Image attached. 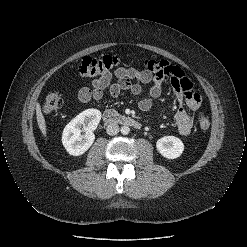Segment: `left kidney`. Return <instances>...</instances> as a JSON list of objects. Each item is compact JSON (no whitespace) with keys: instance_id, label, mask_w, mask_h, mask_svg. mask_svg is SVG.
I'll list each match as a JSON object with an SVG mask.
<instances>
[{"instance_id":"1","label":"left kidney","mask_w":247,"mask_h":247,"mask_svg":"<svg viewBox=\"0 0 247 247\" xmlns=\"http://www.w3.org/2000/svg\"><path fill=\"white\" fill-rule=\"evenodd\" d=\"M156 148L163 157L175 159L183 153L184 144L175 136H164L157 140Z\"/></svg>"}]
</instances>
